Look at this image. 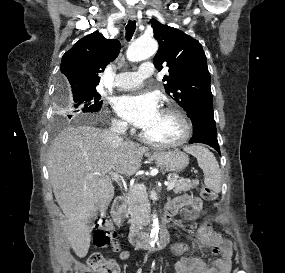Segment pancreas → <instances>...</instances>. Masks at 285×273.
<instances>
[{
    "mask_svg": "<svg viewBox=\"0 0 285 273\" xmlns=\"http://www.w3.org/2000/svg\"><path fill=\"white\" fill-rule=\"evenodd\" d=\"M170 183L175 182L174 193L189 191L199 185V180L178 179L174 176L169 178ZM149 200L146 191L132 188L128 193V215L136 221L137 226L145 225L148 216Z\"/></svg>",
    "mask_w": 285,
    "mask_h": 273,
    "instance_id": "pancreas-1",
    "label": "pancreas"
}]
</instances>
